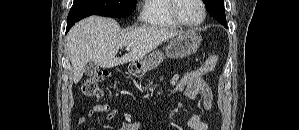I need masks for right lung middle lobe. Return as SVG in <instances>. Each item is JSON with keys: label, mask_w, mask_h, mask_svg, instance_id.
Segmentation results:
<instances>
[{"label": "right lung middle lobe", "mask_w": 299, "mask_h": 130, "mask_svg": "<svg viewBox=\"0 0 299 130\" xmlns=\"http://www.w3.org/2000/svg\"><path fill=\"white\" fill-rule=\"evenodd\" d=\"M137 0H74L70 13L126 17L135 9Z\"/></svg>", "instance_id": "dd1d6c3e"}]
</instances>
